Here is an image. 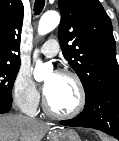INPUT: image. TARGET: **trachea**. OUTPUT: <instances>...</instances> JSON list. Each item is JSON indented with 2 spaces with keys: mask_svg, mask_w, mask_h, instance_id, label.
I'll return each mask as SVG.
<instances>
[{
  "mask_svg": "<svg viewBox=\"0 0 119 141\" xmlns=\"http://www.w3.org/2000/svg\"><path fill=\"white\" fill-rule=\"evenodd\" d=\"M45 0H36L34 5V12L38 15L44 8Z\"/></svg>",
  "mask_w": 119,
  "mask_h": 141,
  "instance_id": "1",
  "label": "trachea"
}]
</instances>
